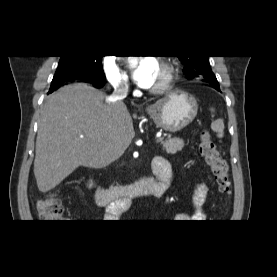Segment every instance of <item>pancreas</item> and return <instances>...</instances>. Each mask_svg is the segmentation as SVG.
<instances>
[{"label": "pancreas", "instance_id": "cf45deb5", "mask_svg": "<svg viewBox=\"0 0 277 277\" xmlns=\"http://www.w3.org/2000/svg\"><path fill=\"white\" fill-rule=\"evenodd\" d=\"M163 146V150H165L168 154H176L181 151L185 143L180 138H167L165 141L161 142Z\"/></svg>", "mask_w": 277, "mask_h": 277}]
</instances>
